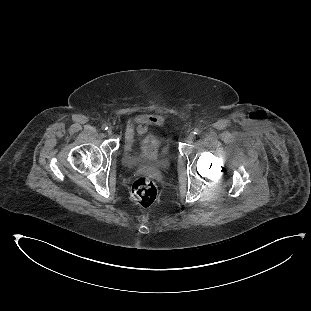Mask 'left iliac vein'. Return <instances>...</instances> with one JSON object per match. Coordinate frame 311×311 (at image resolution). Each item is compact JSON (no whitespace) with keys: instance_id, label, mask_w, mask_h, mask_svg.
<instances>
[{"instance_id":"obj_1","label":"left iliac vein","mask_w":311,"mask_h":311,"mask_svg":"<svg viewBox=\"0 0 311 311\" xmlns=\"http://www.w3.org/2000/svg\"><path fill=\"white\" fill-rule=\"evenodd\" d=\"M195 138V135L193 132H191L189 135H188V140H193Z\"/></svg>"}]
</instances>
